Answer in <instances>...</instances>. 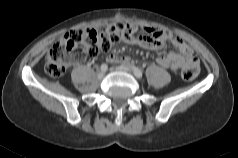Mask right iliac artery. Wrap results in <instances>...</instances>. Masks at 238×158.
Here are the masks:
<instances>
[{
    "mask_svg": "<svg viewBox=\"0 0 238 158\" xmlns=\"http://www.w3.org/2000/svg\"><path fill=\"white\" fill-rule=\"evenodd\" d=\"M108 69V66L106 64L101 65V71L106 72Z\"/></svg>",
    "mask_w": 238,
    "mask_h": 158,
    "instance_id": "82829eb1",
    "label": "right iliac artery"
}]
</instances>
